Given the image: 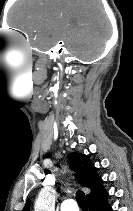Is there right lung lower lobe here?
Listing matches in <instances>:
<instances>
[{
    "label": "right lung lower lobe",
    "mask_w": 133,
    "mask_h": 211,
    "mask_svg": "<svg viewBox=\"0 0 133 211\" xmlns=\"http://www.w3.org/2000/svg\"><path fill=\"white\" fill-rule=\"evenodd\" d=\"M107 198L108 196L98 202L90 203L89 210L90 211H112V208L108 204Z\"/></svg>",
    "instance_id": "1"
}]
</instances>
